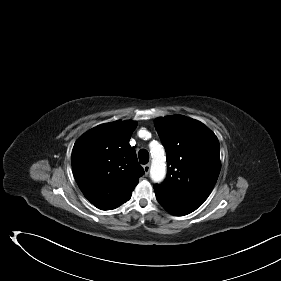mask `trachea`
Masks as SVG:
<instances>
[{
  "mask_svg": "<svg viewBox=\"0 0 281 281\" xmlns=\"http://www.w3.org/2000/svg\"><path fill=\"white\" fill-rule=\"evenodd\" d=\"M138 156H139V161H140L141 164H147L148 163V161H149V153H148V151L146 149H141L139 151Z\"/></svg>",
  "mask_w": 281,
  "mask_h": 281,
  "instance_id": "1",
  "label": "trachea"
}]
</instances>
